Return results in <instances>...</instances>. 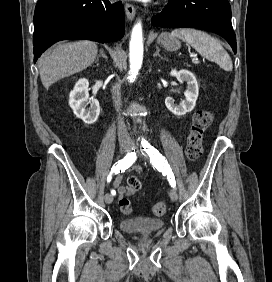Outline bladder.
I'll use <instances>...</instances> for the list:
<instances>
[{"mask_svg": "<svg viewBox=\"0 0 272 282\" xmlns=\"http://www.w3.org/2000/svg\"><path fill=\"white\" fill-rule=\"evenodd\" d=\"M119 227L133 234H153L164 227V222L161 219L135 217L122 219L119 222Z\"/></svg>", "mask_w": 272, "mask_h": 282, "instance_id": "1", "label": "bladder"}]
</instances>
